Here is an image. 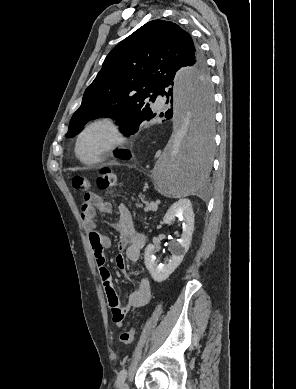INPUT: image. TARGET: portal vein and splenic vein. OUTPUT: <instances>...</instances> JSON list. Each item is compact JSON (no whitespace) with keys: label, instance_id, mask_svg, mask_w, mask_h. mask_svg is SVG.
<instances>
[{"label":"portal vein and splenic vein","instance_id":"obj_1","mask_svg":"<svg viewBox=\"0 0 296 389\" xmlns=\"http://www.w3.org/2000/svg\"><path fill=\"white\" fill-rule=\"evenodd\" d=\"M150 208H151L153 211L157 210V203L151 202V203H150Z\"/></svg>","mask_w":296,"mask_h":389}]
</instances>
